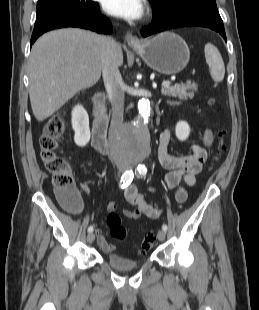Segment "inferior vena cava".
<instances>
[{
  "label": "inferior vena cava",
  "mask_w": 259,
  "mask_h": 310,
  "mask_svg": "<svg viewBox=\"0 0 259 310\" xmlns=\"http://www.w3.org/2000/svg\"><path fill=\"white\" fill-rule=\"evenodd\" d=\"M117 42L111 37L104 38L102 55V74L104 85L112 105V119L109 129V141L114 161L120 163L122 158L116 147V138L123 126L124 83L115 58Z\"/></svg>",
  "instance_id": "obj_1"
}]
</instances>
